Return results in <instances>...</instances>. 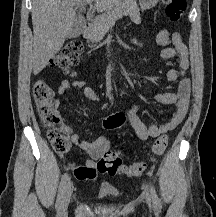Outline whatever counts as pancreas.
<instances>
[{
  "label": "pancreas",
  "mask_w": 216,
  "mask_h": 217,
  "mask_svg": "<svg viewBox=\"0 0 216 217\" xmlns=\"http://www.w3.org/2000/svg\"><path fill=\"white\" fill-rule=\"evenodd\" d=\"M123 15L129 16L135 23H141L140 10L134 0H123L107 13L99 16L89 27L86 38L91 42H100L115 22Z\"/></svg>",
  "instance_id": "pancreas-1"
}]
</instances>
